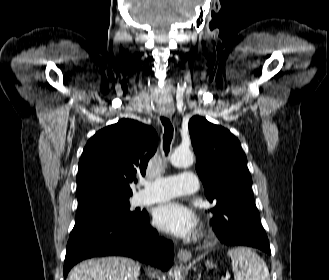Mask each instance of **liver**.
Masks as SVG:
<instances>
[{
	"mask_svg": "<svg viewBox=\"0 0 329 280\" xmlns=\"http://www.w3.org/2000/svg\"><path fill=\"white\" fill-rule=\"evenodd\" d=\"M141 265L130 258L90 259L75 266L67 280H136Z\"/></svg>",
	"mask_w": 329,
	"mask_h": 280,
	"instance_id": "liver-1",
	"label": "liver"
}]
</instances>
